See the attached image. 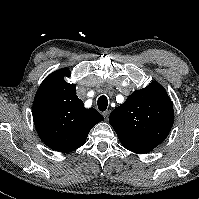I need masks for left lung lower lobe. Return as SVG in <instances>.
<instances>
[{
	"label": "left lung lower lobe",
	"instance_id": "left-lung-lower-lobe-1",
	"mask_svg": "<svg viewBox=\"0 0 199 199\" xmlns=\"http://www.w3.org/2000/svg\"><path fill=\"white\" fill-rule=\"evenodd\" d=\"M117 135H118V138H119L121 144L126 149H128L134 153L145 154V153L151 151L152 149H154L156 146H158L157 144H154V143H151L148 141H144V140H140V139H136V138H133L126 134L117 133Z\"/></svg>",
	"mask_w": 199,
	"mask_h": 199
}]
</instances>
